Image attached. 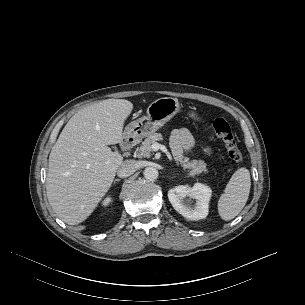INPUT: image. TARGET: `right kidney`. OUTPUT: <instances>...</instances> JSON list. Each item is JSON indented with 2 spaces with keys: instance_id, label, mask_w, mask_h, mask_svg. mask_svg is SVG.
<instances>
[{
  "instance_id": "right-kidney-1",
  "label": "right kidney",
  "mask_w": 305,
  "mask_h": 305,
  "mask_svg": "<svg viewBox=\"0 0 305 305\" xmlns=\"http://www.w3.org/2000/svg\"><path fill=\"white\" fill-rule=\"evenodd\" d=\"M110 202H111V198L108 197V198H106V199L103 201V205H104V206H107Z\"/></svg>"
}]
</instances>
